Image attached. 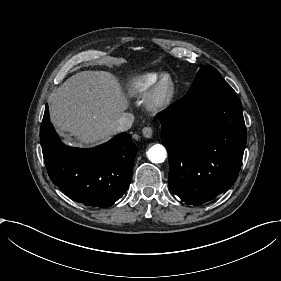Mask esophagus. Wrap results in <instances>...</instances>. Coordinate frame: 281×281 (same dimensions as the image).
<instances>
[{"label": "esophagus", "instance_id": "34e87169", "mask_svg": "<svg viewBox=\"0 0 281 281\" xmlns=\"http://www.w3.org/2000/svg\"><path fill=\"white\" fill-rule=\"evenodd\" d=\"M143 136L146 138H151L153 135V131L151 127H144L142 129Z\"/></svg>", "mask_w": 281, "mask_h": 281}]
</instances>
